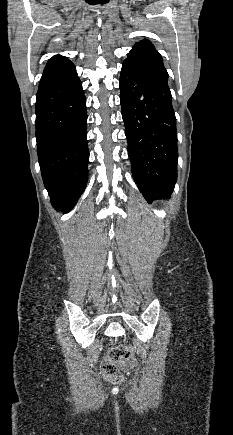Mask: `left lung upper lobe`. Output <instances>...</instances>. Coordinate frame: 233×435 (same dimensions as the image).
I'll list each match as a JSON object with an SVG mask.
<instances>
[{
	"instance_id": "5c2ea615",
	"label": "left lung upper lobe",
	"mask_w": 233,
	"mask_h": 435,
	"mask_svg": "<svg viewBox=\"0 0 233 435\" xmlns=\"http://www.w3.org/2000/svg\"><path fill=\"white\" fill-rule=\"evenodd\" d=\"M123 64L131 66L148 77L168 83V73L162 57L147 39H143L133 46Z\"/></svg>"
}]
</instances>
